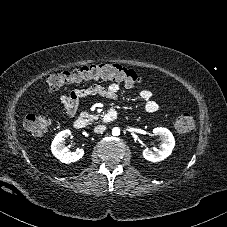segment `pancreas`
Masks as SVG:
<instances>
[{
  "label": "pancreas",
  "mask_w": 227,
  "mask_h": 227,
  "mask_svg": "<svg viewBox=\"0 0 227 227\" xmlns=\"http://www.w3.org/2000/svg\"><path fill=\"white\" fill-rule=\"evenodd\" d=\"M80 116L83 117V118H87L88 121H90V122H92V121L98 119V116L89 114L88 112H82V113L80 114Z\"/></svg>",
  "instance_id": "obj_1"
}]
</instances>
